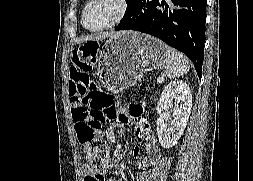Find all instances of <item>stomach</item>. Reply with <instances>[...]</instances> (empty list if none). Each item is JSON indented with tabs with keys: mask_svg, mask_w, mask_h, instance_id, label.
I'll list each match as a JSON object with an SVG mask.
<instances>
[{
	"mask_svg": "<svg viewBox=\"0 0 253 181\" xmlns=\"http://www.w3.org/2000/svg\"><path fill=\"white\" fill-rule=\"evenodd\" d=\"M166 45L150 35L125 31L105 41L99 53L98 75L103 87L122 91L141 80L145 71L166 64Z\"/></svg>",
	"mask_w": 253,
	"mask_h": 181,
	"instance_id": "0dacf381",
	"label": "stomach"
}]
</instances>
